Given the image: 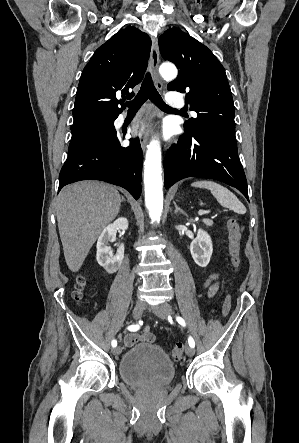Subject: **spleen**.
<instances>
[{"instance_id":"3e777b00","label":"spleen","mask_w":299,"mask_h":443,"mask_svg":"<svg viewBox=\"0 0 299 443\" xmlns=\"http://www.w3.org/2000/svg\"><path fill=\"white\" fill-rule=\"evenodd\" d=\"M193 187L205 188L211 191L218 203L238 214H245L246 208L239 199L227 188L208 180L196 181L191 184Z\"/></svg>"}]
</instances>
